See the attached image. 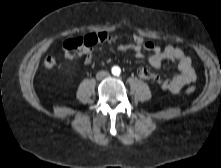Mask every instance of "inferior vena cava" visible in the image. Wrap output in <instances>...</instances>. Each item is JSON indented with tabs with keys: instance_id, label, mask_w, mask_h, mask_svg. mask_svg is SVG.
<instances>
[{
	"instance_id": "1",
	"label": "inferior vena cava",
	"mask_w": 221,
	"mask_h": 168,
	"mask_svg": "<svg viewBox=\"0 0 221 168\" xmlns=\"http://www.w3.org/2000/svg\"><path fill=\"white\" fill-rule=\"evenodd\" d=\"M107 76H109V72L108 71H99L96 74L97 80H101V79H103V78H105Z\"/></svg>"
}]
</instances>
